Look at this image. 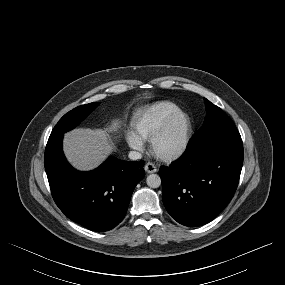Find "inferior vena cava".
Here are the masks:
<instances>
[{"mask_svg": "<svg viewBox=\"0 0 285 285\" xmlns=\"http://www.w3.org/2000/svg\"><path fill=\"white\" fill-rule=\"evenodd\" d=\"M128 156L131 160H139L142 158V154L137 151H130Z\"/></svg>", "mask_w": 285, "mask_h": 285, "instance_id": "602c4592", "label": "inferior vena cava"}]
</instances>
